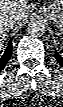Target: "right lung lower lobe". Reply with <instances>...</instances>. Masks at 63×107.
I'll use <instances>...</instances> for the list:
<instances>
[{
  "instance_id": "1",
  "label": "right lung lower lobe",
  "mask_w": 63,
  "mask_h": 107,
  "mask_svg": "<svg viewBox=\"0 0 63 107\" xmlns=\"http://www.w3.org/2000/svg\"><path fill=\"white\" fill-rule=\"evenodd\" d=\"M11 56H12V39L9 41L8 46H7L4 54L0 57V71L8 63Z\"/></svg>"
}]
</instances>
